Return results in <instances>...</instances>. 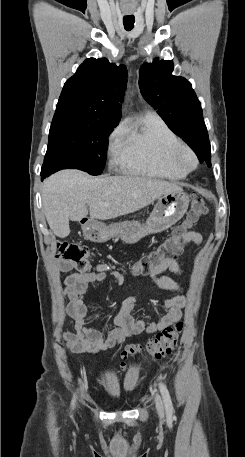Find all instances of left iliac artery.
<instances>
[{"instance_id":"44dca946","label":"left iliac artery","mask_w":245,"mask_h":457,"mask_svg":"<svg viewBox=\"0 0 245 457\" xmlns=\"http://www.w3.org/2000/svg\"><path fill=\"white\" fill-rule=\"evenodd\" d=\"M159 388H160V392H161V395H162V398H163V401H164V405H165L166 411L168 413H171L173 411V404H172V401H171V397H170L169 391H168L167 387L163 383L159 384Z\"/></svg>"}]
</instances>
